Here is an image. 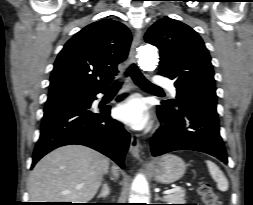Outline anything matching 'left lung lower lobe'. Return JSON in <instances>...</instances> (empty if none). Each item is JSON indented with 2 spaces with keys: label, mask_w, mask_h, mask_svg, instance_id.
Returning <instances> with one entry per match:
<instances>
[{
  "label": "left lung lower lobe",
  "mask_w": 253,
  "mask_h": 205,
  "mask_svg": "<svg viewBox=\"0 0 253 205\" xmlns=\"http://www.w3.org/2000/svg\"><path fill=\"white\" fill-rule=\"evenodd\" d=\"M159 74L163 75L161 72ZM176 107L169 106L166 101L158 106L163 125L151 138L153 155L195 150L227 163V154L219 133L216 104L193 99L181 100Z\"/></svg>",
  "instance_id": "obj_1"
}]
</instances>
